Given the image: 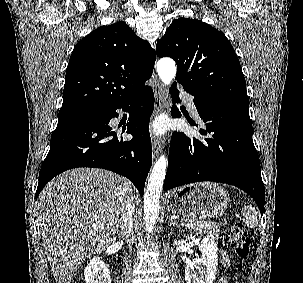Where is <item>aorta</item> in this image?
Segmentation results:
<instances>
[{
    "mask_svg": "<svg viewBox=\"0 0 303 283\" xmlns=\"http://www.w3.org/2000/svg\"><path fill=\"white\" fill-rule=\"evenodd\" d=\"M177 68L171 58H162L157 63V72L165 85L175 78ZM167 170V158L161 155L155 162L144 194V226L145 231L153 233L160 211V194Z\"/></svg>",
    "mask_w": 303,
    "mask_h": 283,
    "instance_id": "1",
    "label": "aorta"
}]
</instances>
